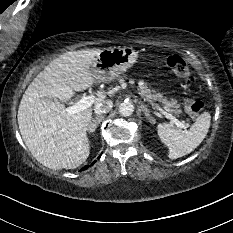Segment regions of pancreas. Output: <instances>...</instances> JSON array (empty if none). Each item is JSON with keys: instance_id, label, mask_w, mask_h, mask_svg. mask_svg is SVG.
Here are the masks:
<instances>
[{"instance_id": "pancreas-1", "label": "pancreas", "mask_w": 233, "mask_h": 233, "mask_svg": "<svg viewBox=\"0 0 233 233\" xmlns=\"http://www.w3.org/2000/svg\"><path fill=\"white\" fill-rule=\"evenodd\" d=\"M119 81H123V77L118 78ZM139 91L142 96L150 101H159L165 105L167 109H171L174 114H180V104H178L177 100L170 99L168 100L166 97H163L162 93L156 92L155 90L151 89L148 84L144 81L139 83Z\"/></svg>"}]
</instances>
